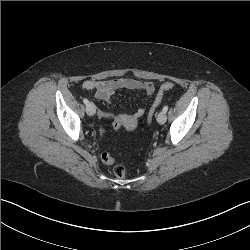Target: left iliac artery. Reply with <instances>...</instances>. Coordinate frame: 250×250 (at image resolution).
<instances>
[{
  "mask_svg": "<svg viewBox=\"0 0 250 250\" xmlns=\"http://www.w3.org/2000/svg\"><path fill=\"white\" fill-rule=\"evenodd\" d=\"M163 111L166 113L168 111V106H164Z\"/></svg>",
  "mask_w": 250,
  "mask_h": 250,
  "instance_id": "1",
  "label": "left iliac artery"
}]
</instances>
